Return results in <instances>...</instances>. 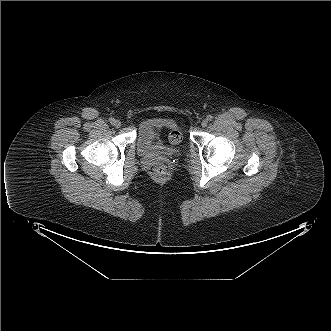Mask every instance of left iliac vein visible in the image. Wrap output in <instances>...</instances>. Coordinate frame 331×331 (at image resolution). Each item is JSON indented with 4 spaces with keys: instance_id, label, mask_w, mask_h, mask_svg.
Instances as JSON below:
<instances>
[{
    "instance_id": "left-iliac-vein-1",
    "label": "left iliac vein",
    "mask_w": 331,
    "mask_h": 331,
    "mask_svg": "<svg viewBox=\"0 0 331 331\" xmlns=\"http://www.w3.org/2000/svg\"><path fill=\"white\" fill-rule=\"evenodd\" d=\"M207 125H208V121H207V120H203V121L201 122V126H202L203 128H205Z\"/></svg>"
}]
</instances>
